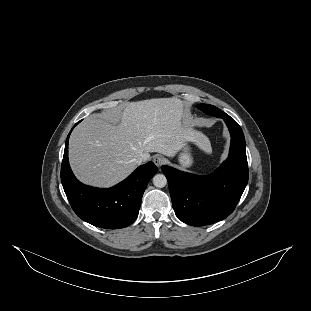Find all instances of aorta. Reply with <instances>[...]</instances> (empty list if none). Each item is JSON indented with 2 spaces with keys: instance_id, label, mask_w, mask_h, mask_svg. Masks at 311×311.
Returning a JSON list of instances; mask_svg holds the SVG:
<instances>
[{
  "instance_id": "obj_1",
  "label": "aorta",
  "mask_w": 311,
  "mask_h": 311,
  "mask_svg": "<svg viewBox=\"0 0 311 311\" xmlns=\"http://www.w3.org/2000/svg\"><path fill=\"white\" fill-rule=\"evenodd\" d=\"M153 185L157 188H163L167 185V178L163 174H156L153 177Z\"/></svg>"
}]
</instances>
